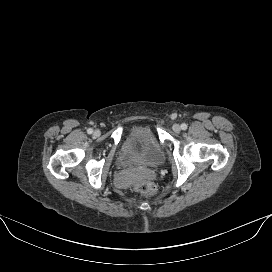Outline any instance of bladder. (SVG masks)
Here are the masks:
<instances>
[{
	"label": "bladder",
	"instance_id": "obj_1",
	"mask_svg": "<svg viewBox=\"0 0 272 272\" xmlns=\"http://www.w3.org/2000/svg\"><path fill=\"white\" fill-rule=\"evenodd\" d=\"M165 154L152 129L135 126L125 135L117 151V164L122 168L154 165L164 162Z\"/></svg>",
	"mask_w": 272,
	"mask_h": 272
}]
</instances>
